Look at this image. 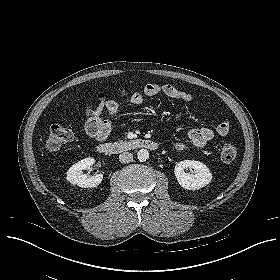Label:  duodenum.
<instances>
[{"label":"duodenum","mask_w":280,"mask_h":280,"mask_svg":"<svg viewBox=\"0 0 280 280\" xmlns=\"http://www.w3.org/2000/svg\"><path fill=\"white\" fill-rule=\"evenodd\" d=\"M159 147V144L150 139H134L120 143H103L98 147V151L105 155H117L126 151L146 149L150 151H155Z\"/></svg>","instance_id":"obj_1"}]
</instances>
